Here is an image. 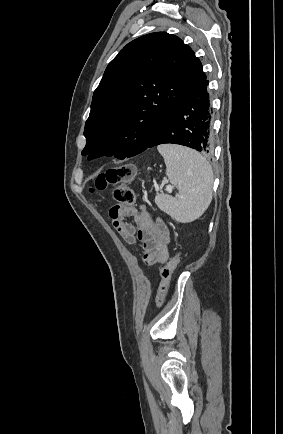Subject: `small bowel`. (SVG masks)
Segmentation results:
<instances>
[{
  "label": "small bowel",
  "instance_id": "obj_1",
  "mask_svg": "<svg viewBox=\"0 0 283 434\" xmlns=\"http://www.w3.org/2000/svg\"><path fill=\"white\" fill-rule=\"evenodd\" d=\"M135 217V225L124 221L126 216ZM109 217L114 228L129 244H140L143 262L152 266L164 264L169 258V230L165 222L153 220L145 206L139 212L125 206L115 205L109 210Z\"/></svg>",
  "mask_w": 283,
  "mask_h": 434
}]
</instances>
